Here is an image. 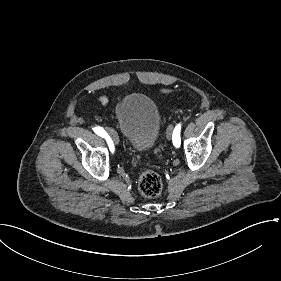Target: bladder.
<instances>
[{"label":"bladder","instance_id":"obj_1","mask_svg":"<svg viewBox=\"0 0 281 281\" xmlns=\"http://www.w3.org/2000/svg\"><path fill=\"white\" fill-rule=\"evenodd\" d=\"M114 120L120 135L133 150L147 151L160 142L162 113L153 97L145 92L120 98L114 106Z\"/></svg>","mask_w":281,"mask_h":281}]
</instances>
